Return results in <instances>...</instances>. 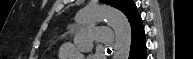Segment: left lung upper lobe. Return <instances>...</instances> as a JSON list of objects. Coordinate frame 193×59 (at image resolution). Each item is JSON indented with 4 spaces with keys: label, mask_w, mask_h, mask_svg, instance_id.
<instances>
[{
    "label": "left lung upper lobe",
    "mask_w": 193,
    "mask_h": 59,
    "mask_svg": "<svg viewBox=\"0 0 193 59\" xmlns=\"http://www.w3.org/2000/svg\"><path fill=\"white\" fill-rule=\"evenodd\" d=\"M105 4L111 5L122 11L127 18H129L134 12H136V6L132 0H100Z\"/></svg>",
    "instance_id": "1"
}]
</instances>
